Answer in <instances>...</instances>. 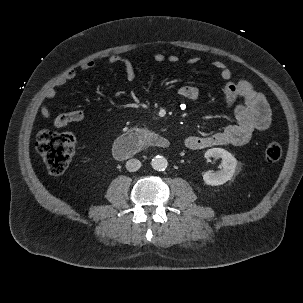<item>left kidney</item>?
<instances>
[{"label": "left kidney", "mask_w": 303, "mask_h": 303, "mask_svg": "<svg viewBox=\"0 0 303 303\" xmlns=\"http://www.w3.org/2000/svg\"><path fill=\"white\" fill-rule=\"evenodd\" d=\"M211 157L215 159L221 158L223 169L217 172H205L203 174V180L208 185H222L233 177L237 166V160L230 152L222 148L208 149L205 152V158L210 160Z\"/></svg>", "instance_id": "5707ae66"}]
</instances>
